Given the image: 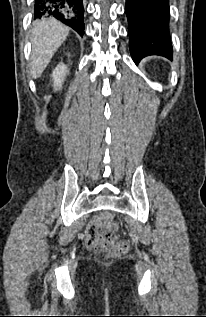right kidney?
I'll return each instance as SVG.
<instances>
[{
	"label": "right kidney",
	"mask_w": 206,
	"mask_h": 317,
	"mask_svg": "<svg viewBox=\"0 0 206 317\" xmlns=\"http://www.w3.org/2000/svg\"><path fill=\"white\" fill-rule=\"evenodd\" d=\"M68 72V68L63 63H60L53 71L52 78L54 82V90H60L64 81V77Z\"/></svg>",
	"instance_id": "obj_1"
}]
</instances>
